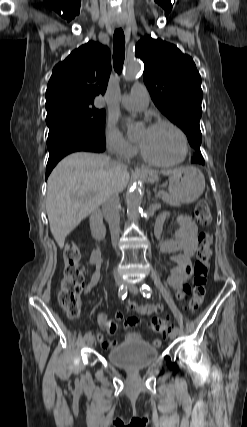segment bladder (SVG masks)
Listing matches in <instances>:
<instances>
[{
  "instance_id": "31cf9c89",
  "label": "bladder",
  "mask_w": 247,
  "mask_h": 427,
  "mask_svg": "<svg viewBox=\"0 0 247 427\" xmlns=\"http://www.w3.org/2000/svg\"><path fill=\"white\" fill-rule=\"evenodd\" d=\"M158 353V349L147 342L131 340L111 348L107 359L120 368L137 370L152 364L157 359Z\"/></svg>"
}]
</instances>
